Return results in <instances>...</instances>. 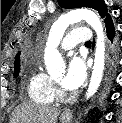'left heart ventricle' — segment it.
Wrapping results in <instances>:
<instances>
[{"mask_svg":"<svg viewBox=\"0 0 122 123\" xmlns=\"http://www.w3.org/2000/svg\"><path fill=\"white\" fill-rule=\"evenodd\" d=\"M56 81H58L59 83L62 82V76L56 77Z\"/></svg>","mask_w":122,"mask_h":123,"instance_id":"obj_1","label":"left heart ventricle"}]
</instances>
